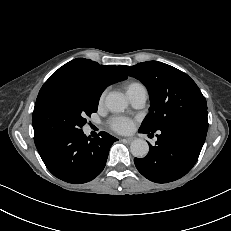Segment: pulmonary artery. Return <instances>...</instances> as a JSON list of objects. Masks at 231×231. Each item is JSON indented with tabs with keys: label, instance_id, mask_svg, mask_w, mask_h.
<instances>
[{
	"label": "pulmonary artery",
	"instance_id": "1",
	"mask_svg": "<svg viewBox=\"0 0 231 231\" xmlns=\"http://www.w3.org/2000/svg\"><path fill=\"white\" fill-rule=\"evenodd\" d=\"M129 98H130L132 105L135 108H141L144 106L146 99H147L146 90L143 89V90L137 91L136 93L132 94Z\"/></svg>",
	"mask_w": 231,
	"mask_h": 231
}]
</instances>
